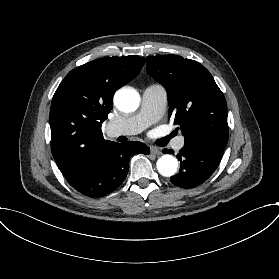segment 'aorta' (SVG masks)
Wrapping results in <instances>:
<instances>
[{
    "label": "aorta",
    "mask_w": 279,
    "mask_h": 279,
    "mask_svg": "<svg viewBox=\"0 0 279 279\" xmlns=\"http://www.w3.org/2000/svg\"><path fill=\"white\" fill-rule=\"evenodd\" d=\"M114 104L120 111L133 112L139 107L140 95L133 88H121L114 95ZM156 167L162 176L171 177L177 173L178 160L170 154H164L157 160Z\"/></svg>",
    "instance_id": "1"
}]
</instances>
